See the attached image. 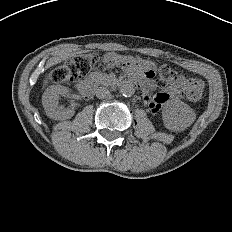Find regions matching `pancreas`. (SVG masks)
<instances>
[{
  "label": "pancreas",
  "mask_w": 232,
  "mask_h": 232,
  "mask_svg": "<svg viewBox=\"0 0 232 232\" xmlns=\"http://www.w3.org/2000/svg\"><path fill=\"white\" fill-rule=\"evenodd\" d=\"M104 78H105V80H107V77H106V75H105V77H104Z\"/></svg>",
  "instance_id": "pancreas-1"
}]
</instances>
